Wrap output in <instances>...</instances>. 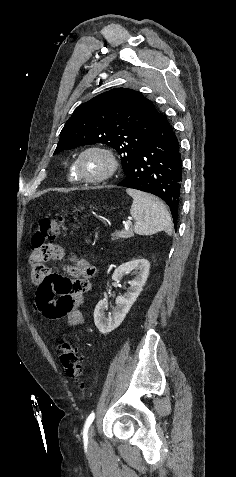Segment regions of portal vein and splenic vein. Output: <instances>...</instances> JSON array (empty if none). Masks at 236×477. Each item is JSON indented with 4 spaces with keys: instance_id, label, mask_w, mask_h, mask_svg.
<instances>
[{
    "instance_id": "1",
    "label": "portal vein and splenic vein",
    "mask_w": 236,
    "mask_h": 477,
    "mask_svg": "<svg viewBox=\"0 0 236 477\" xmlns=\"http://www.w3.org/2000/svg\"><path fill=\"white\" fill-rule=\"evenodd\" d=\"M131 225H132V222L129 220L124 222L125 229H128Z\"/></svg>"
}]
</instances>
